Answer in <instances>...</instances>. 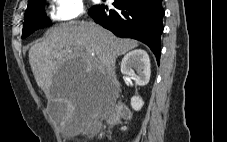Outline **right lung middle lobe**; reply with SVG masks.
I'll return each instance as SVG.
<instances>
[{
  "label": "right lung middle lobe",
  "mask_w": 227,
  "mask_h": 142,
  "mask_svg": "<svg viewBox=\"0 0 227 142\" xmlns=\"http://www.w3.org/2000/svg\"><path fill=\"white\" fill-rule=\"evenodd\" d=\"M45 2L46 0H33L28 2L22 38L29 36L37 29L50 23V20L44 11Z\"/></svg>",
  "instance_id": "dd1d6c3e"
}]
</instances>
